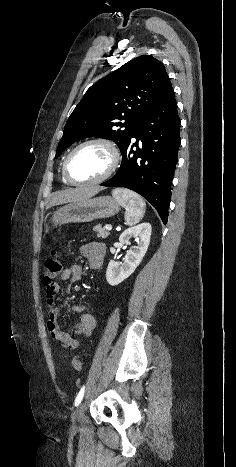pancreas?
Instances as JSON below:
<instances>
[{
  "mask_svg": "<svg viewBox=\"0 0 236 467\" xmlns=\"http://www.w3.org/2000/svg\"><path fill=\"white\" fill-rule=\"evenodd\" d=\"M94 231L97 232L96 238H102L105 239L109 236V232L106 230V228L102 227L101 224H98L94 227Z\"/></svg>",
  "mask_w": 236,
  "mask_h": 467,
  "instance_id": "cf45deb5",
  "label": "pancreas"
}]
</instances>
